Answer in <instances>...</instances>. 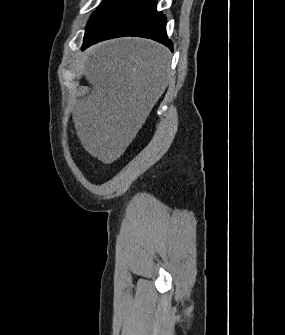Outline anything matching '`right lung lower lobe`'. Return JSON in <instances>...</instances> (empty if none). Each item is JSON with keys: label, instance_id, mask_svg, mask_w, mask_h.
<instances>
[{"label": "right lung lower lobe", "instance_id": "1", "mask_svg": "<svg viewBox=\"0 0 285 335\" xmlns=\"http://www.w3.org/2000/svg\"><path fill=\"white\" fill-rule=\"evenodd\" d=\"M138 36L158 41L171 50L166 18L156 9V0H123L84 37L82 50L102 40Z\"/></svg>", "mask_w": 285, "mask_h": 335}]
</instances>
